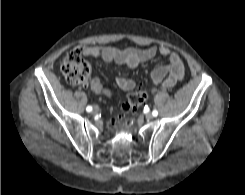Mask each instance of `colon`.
<instances>
[{"label":"colon","mask_w":245,"mask_h":195,"mask_svg":"<svg viewBox=\"0 0 245 195\" xmlns=\"http://www.w3.org/2000/svg\"><path fill=\"white\" fill-rule=\"evenodd\" d=\"M61 71L66 80L74 85H84L88 82L91 66L85 59L83 49L76 48L66 54L61 64ZM148 96L147 90L138 85L129 95L128 101L122 106V113L126 114L144 103Z\"/></svg>","instance_id":"obj_1"}]
</instances>
